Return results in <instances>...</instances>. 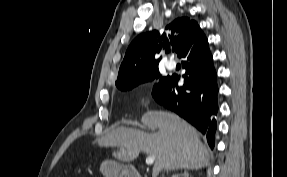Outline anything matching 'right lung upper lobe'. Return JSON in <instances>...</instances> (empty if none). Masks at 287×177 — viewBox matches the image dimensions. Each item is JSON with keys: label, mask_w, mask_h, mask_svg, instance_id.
I'll return each instance as SVG.
<instances>
[{"label": "right lung upper lobe", "mask_w": 287, "mask_h": 177, "mask_svg": "<svg viewBox=\"0 0 287 177\" xmlns=\"http://www.w3.org/2000/svg\"><path fill=\"white\" fill-rule=\"evenodd\" d=\"M201 31L197 22L182 17L167 25L161 34L156 30L140 34L129 45L115 84L137 80L158 69L162 49L167 52L173 46L179 55L186 43Z\"/></svg>", "instance_id": "1"}]
</instances>
